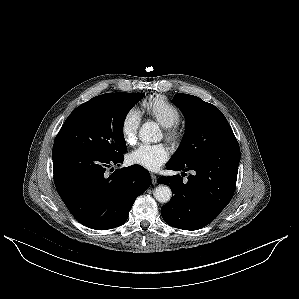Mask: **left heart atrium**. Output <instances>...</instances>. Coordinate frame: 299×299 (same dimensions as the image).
Returning <instances> with one entry per match:
<instances>
[{"label":"left heart atrium","instance_id":"39dd6f15","mask_svg":"<svg viewBox=\"0 0 299 299\" xmlns=\"http://www.w3.org/2000/svg\"><path fill=\"white\" fill-rule=\"evenodd\" d=\"M169 157V149L164 143L140 144L129 155L133 164L148 170H157Z\"/></svg>","mask_w":299,"mask_h":299}]
</instances>
